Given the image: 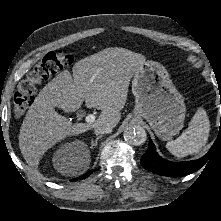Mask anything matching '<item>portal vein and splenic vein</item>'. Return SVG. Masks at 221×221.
<instances>
[{
    "label": "portal vein and splenic vein",
    "instance_id": "18ae733b",
    "mask_svg": "<svg viewBox=\"0 0 221 221\" xmlns=\"http://www.w3.org/2000/svg\"><path fill=\"white\" fill-rule=\"evenodd\" d=\"M95 115H93V114H89V115H87L86 117H85V121L87 122V123H93L94 121H95Z\"/></svg>",
    "mask_w": 221,
    "mask_h": 221
}]
</instances>
